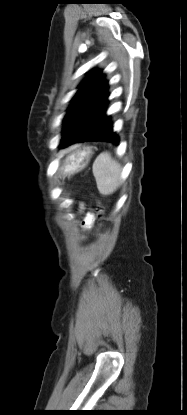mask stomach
<instances>
[{
	"label": "stomach",
	"instance_id": "0dacf381",
	"mask_svg": "<svg viewBox=\"0 0 187 415\" xmlns=\"http://www.w3.org/2000/svg\"><path fill=\"white\" fill-rule=\"evenodd\" d=\"M93 151L91 147L77 145L64 160L61 171L64 175H72L83 170L89 163Z\"/></svg>",
	"mask_w": 187,
	"mask_h": 415
}]
</instances>
